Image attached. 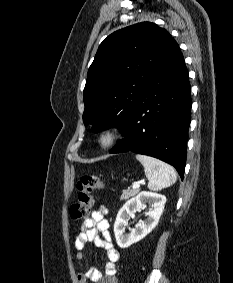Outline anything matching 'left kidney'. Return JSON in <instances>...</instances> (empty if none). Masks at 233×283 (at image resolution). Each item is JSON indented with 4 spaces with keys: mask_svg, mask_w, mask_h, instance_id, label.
<instances>
[{
    "mask_svg": "<svg viewBox=\"0 0 233 283\" xmlns=\"http://www.w3.org/2000/svg\"><path fill=\"white\" fill-rule=\"evenodd\" d=\"M147 203L151 205V208L146 213L147 219L139 222L129 233H125L130 217L136 211H141ZM165 203V196L146 191L140 192L135 198L127 201L118 212L114 224V233L118 246L127 248L149 234L158 224Z\"/></svg>",
    "mask_w": 233,
    "mask_h": 283,
    "instance_id": "obj_1",
    "label": "left kidney"
}]
</instances>
